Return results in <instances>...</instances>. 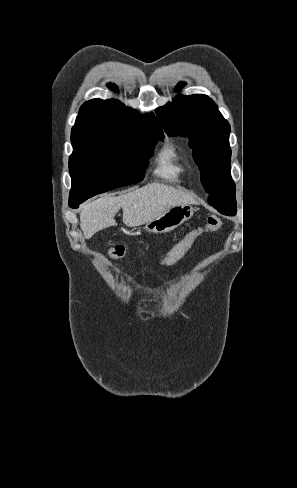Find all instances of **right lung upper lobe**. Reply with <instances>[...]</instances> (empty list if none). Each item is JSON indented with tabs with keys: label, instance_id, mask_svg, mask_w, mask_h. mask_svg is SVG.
<instances>
[{
	"label": "right lung upper lobe",
	"instance_id": "right-lung-upper-lobe-1",
	"mask_svg": "<svg viewBox=\"0 0 297 488\" xmlns=\"http://www.w3.org/2000/svg\"><path fill=\"white\" fill-rule=\"evenodd\" d=\"M111 90L118 91L114 84ZM143 129H150L164 137L161 126L153 114L140 115L117 100L92 99L85 102L71 131L72 145L108 140L117 136L128 137Z\"/></svg>",
	"mask_w": 297,
	"mask_h": 488
}]
</instances>
